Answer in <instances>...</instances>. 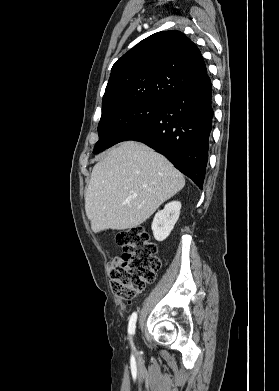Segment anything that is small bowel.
I'll use <instances>...</instances> for the list:
<instances>
[{
  "instance_id": "small-bowel-1",
  "label": "small bowel",
  "mask_w": 279,
  "mask_h": 391,
  "mask_svg": "<svg viewBox=\"0 0 279 391\" xmlns=\"http://www.w3.org/2000/svg\"><path fill=\"white\" fill-rule=\"evenodd\" d=\"M120 257H115L111 263V267L113 268L115 265L118 264Z\"/></svg>"
}]
</instances>
